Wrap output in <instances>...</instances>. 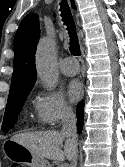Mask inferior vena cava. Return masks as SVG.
I'll use <instances>...</instances> for the list:
<instances>
[{
	"instance_id": "obj_1",
	"label": "inferior vena cava",
	"mask_w": 125,
	"mask_h": 167,
	"mask_svg": "<svg viewBox=\"0 0 125 167\" xmlns=\"http://www.w3.org/2000/svg\"><path fill=\"white\" fill-rule=\"evenodd\" d=\"M61 133L71 139L74 144V151L70 167H77V120L70 108H64L61 111Z\"/></svg>"
}]
</instances>
